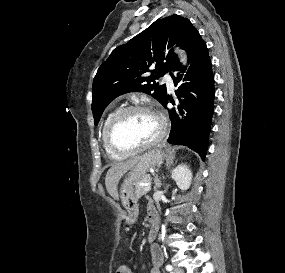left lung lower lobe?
I'll use <instances>...</instances> for the list:
<instances>
[{
	"instance_id": "0a47b994",
	"label": "left lung lower lobe",
	"mask_w": 285,
	"mask_h": 273,
	"mask_svg": "<svg viewBox=\"0 0 285 273\" xmlns=\"http://www.w3.org/2000/svg\"><path fill=\"white\" fill-rule=\"evenodd\" d=\"M186 51L190 63L186 74H181L186 68H182L179 62L173 68L175 85L181 83L175 91L178 97L175 108H167V96L161 103L168 109L171 120L167 141L186 145L205 160L214 109V78L207 46L197 30L192 32Z\"/></svg>"
}]
</instances>
